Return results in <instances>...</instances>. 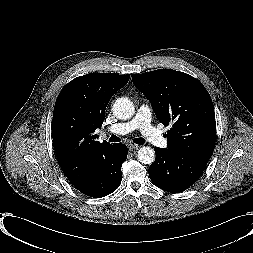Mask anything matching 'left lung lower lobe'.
I'll return each mask as SVG.
<instances>
[{"label":"left lung lower lobe","instance_id":"0a47b994","mask_svg":"<svg viewBox=\"0 0 253 253\" xmlns=\"http://www.w3.org/2000/svg\"><path fill=\"white\" fill-rule=\"evenodd\" d=\"M156 159L149 167L153 184L171 193L188 189L203 173L210 157L166 148H155Z\"/></svg>","mask_w":253,"mask_h":253}]
</instances>
